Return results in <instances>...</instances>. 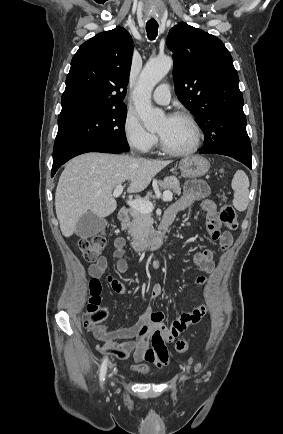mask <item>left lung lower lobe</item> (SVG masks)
<instances>
[{
  "label": "left lung lower lobe",
  "instance_id": "obj_1",
  "mask_svg": "<svg viewBox=\"0 0 283 434\" xmlns=\"http://www.w3.org/2000/svg\"><path fill=\"white\" fill-rule=\"evenodd\" d=\"M200 153L201 154H211V153H207V151H204V150H202ZM239 161L242 162L243 164H245L250 169H252L251 158H249V157L248 158H240Z\"/></svg>",
  "mask_w": 283,
  "mask_h": 434
}]
</instances>
